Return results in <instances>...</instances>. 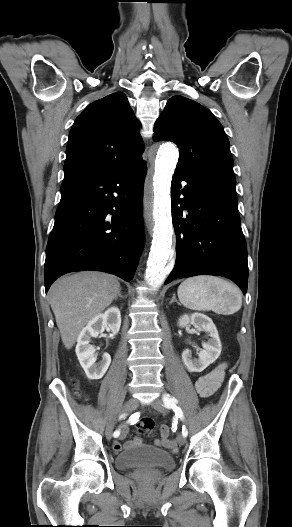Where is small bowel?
Wrapping results in <instances>:
<instances>
[{"label":"small bowel","instance_id":"c3829d8e","mask_svg":"<svg viewBox=\"0 0 292 527\" xmlns=\"http://www.w3.org/2000/svg\"><path fill=\"white\" fill-rule=\"evenodd\" d=\"M224 373L225 364H220L214 369H212L210 372H208L206 375L197 379V381L195 382V388L198 394L203 398H208L212 396L220 387V384L224 377ZM160 427L161 429L158 434L159 439L155 440V444L158 446H168L171 447L173 450H176V443L168 438L172 432L171 427L167 426L165 422H162L160 424ZM126 435L127 427L122 426L120 440L124 439ZM141 443L142 441L139 438H136L132 441L127 442L125 444V448H131L136 445H140ZM113 448L115 451L119 452L124 448V446L121 444L120 441H116L113 444Z\"/></svg>","mask_w":292,"mask_h":527}]
</instances>
